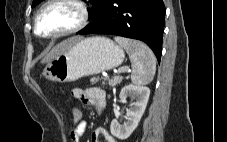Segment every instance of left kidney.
Segmentation results:
<instances>
[{
	"mask_svg": "<svg viewBox=\"0 0 227 142\" xmlns=\"http://www.w3.org/2000/svg\"><path fill=\"white\" fill-rule=\"evenodd\" d=\"M150 96V89L145 86L127 85L120 92V100L126 101L127 97H131L136 101L131 104L126 114V121L121 125L117 119L112 120L110 131L113 136L120 140L127 139L137 128L140 119L146 109Z\"/></svg>",
	"mask_w": 227,
	"mask_h": 142,
	"instance_id": "obj_1",
	"label": "left kidney"
}]
</instances>
